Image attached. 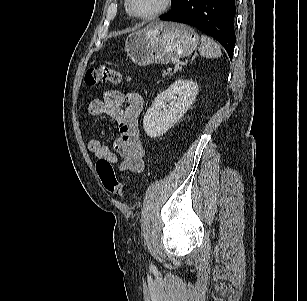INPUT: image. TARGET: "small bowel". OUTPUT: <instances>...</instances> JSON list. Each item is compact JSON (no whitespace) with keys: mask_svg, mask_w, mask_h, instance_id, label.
Masks as SVG:
<instances>
[{"mask_svg":"<svg viewBox=\"0 0 307 301\" xmlns=\"http://www.w3.org/2000/svg\"><path fill=\"white\" fill-rule=\"evenodd\" d=\"M143 103L140 94H125L117 90H109L105 92L103 99L95 98L89 103L90 115H108L116 120L119 129V135L113 143V151L98 138L89 141V150L100 159L118 164L121 173H140L144 170L145 152L138 129ZM119 158L122 159L120 163Z\"/></svg>","mask_w":307,"mask_h":301,"instance_id":"small-bowel-1","label":"small bowel"}]
</instances>
